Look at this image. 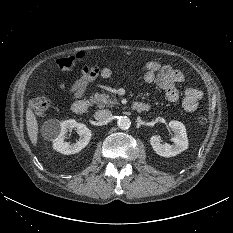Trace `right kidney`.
<instances>
[{"mask_svg": "<svg viewBox=\"0 0 233 233\" xmlns=\"http://www.w3.org/2000/svg\"><path fill=\"white\" fill-rule=\"evenodd\" d=\"M77 129L80 138L76 143L70 144L65 141L68 130ZM44 136L46 139L53 142V148L65 155L75 154L80 152L89 143L92 132L83 123H77L74 119L58 121L51 119L45 122Z\"/></svg>", "mask_w": 233, "mask_h": 233, "instance_id": "ca27d5eb", "label": "right kidney"}]
</instances>
